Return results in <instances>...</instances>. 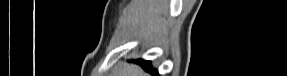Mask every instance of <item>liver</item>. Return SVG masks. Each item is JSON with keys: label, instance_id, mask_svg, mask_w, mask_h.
Here are the masks:
<instances>
[{"label": "liver", "instance_id": "6515ba94", "mask_svg": "<svg viewBox=\"0 0 287 76\" xmlns=\"http://www.w3.org/2000/svg\"><path fill=\"white\" fill-rule=\"evenodd\" d=\"M142 70L137 66L124 67L119 76H143Z\"/></svg>", "mask_w": 287, "mask_h": 76}]
</instances>
